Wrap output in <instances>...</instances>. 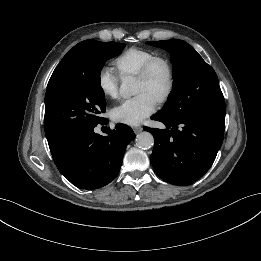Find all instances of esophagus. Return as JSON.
Wrapping results in <instances>:
<instances>
[{
  "instance_id": "1",
  "label": "esophagus",
  "mask_w": 261,
  "mask_h": 261,
  "mask_svg": "<svg viewBox=\"0 0 261 261\" xmlns=\"http://www.w3.org/2000/svg\"><path fill=\"white\" fill-rule=\"evenodd\" d=\"M143 130V128L141 126H134L133 127V131L135 134L140 133Z\"/></svg>"
}]
</instances>
